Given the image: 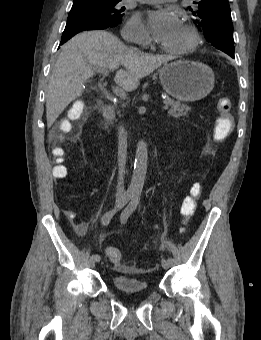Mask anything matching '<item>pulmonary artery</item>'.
I'll return each mask as SVG.
<instances>
[{"mask_svg": "<svg viewBox=\"0 0 261 340\" xmlns=\"http://www.w3.org/2000/svg\"><path fill=\"white\" fill-rule=\"evenodd\" d=\"M138 1L143 2V3H162V2L169 1V0H138Z\"/></svg>", "mask_w": 261, "mask_h": 340, "instance_id": "pulmonary-artery-1", "label": "pulmonary artery"}]
</instances>
